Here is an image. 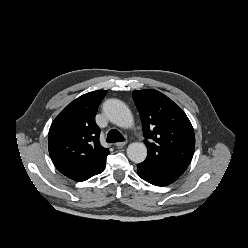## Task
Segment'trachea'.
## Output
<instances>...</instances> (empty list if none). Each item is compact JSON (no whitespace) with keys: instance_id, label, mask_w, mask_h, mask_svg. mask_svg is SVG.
Returning <instances> with one entry per match:
<instances>
[{"instance_id":"3493384b","label":"trachea","mask_w":248,"mask_h":248,"mask_svg":"<svg viewBox=\"0 0 248 248\" xmlns=\"http://www.w3.org/2000/svg\"><path fill=\"white\" fill-rule=\"evenodd\" d=\"M124 140L123 135L116 129H111L107 134V142L109 143L122 142Z\"/></svg>"}]
</instances>
